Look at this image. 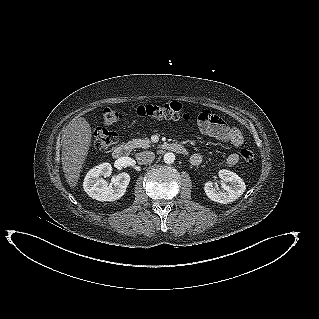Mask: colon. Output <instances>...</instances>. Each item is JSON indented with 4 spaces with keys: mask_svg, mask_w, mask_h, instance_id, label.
<instances>
[{
    "mask_svg": "<svg viewBox=\"0 0 319 319\" xmlns=\"http://www.w3.org/2000/svg\"><path fill=\"white\" fill-rule=\"evenodd\" d=\"M206 111L200 113L199 118L204 117ZM135 115L139 118L167 119V120H188L190 115L183 109L179 102H170L165 104L140 105L135 110ZM103 122L111 126L121 121L123 115L117 109L106 107L102 111ZM117 134L106 128H97L93 132L92 145L97 150H106L117 141ZM241 156L247 163L255 160V153L250 148H243Z\"/></svg>",
    "mask_w": 319,
    "mask_h": 319,
    "instance_id": "5ec220e1",
    "label": "colon"
}]
</instances>
